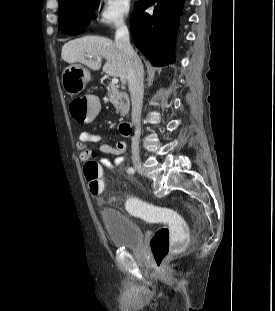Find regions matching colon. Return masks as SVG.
I'll return each mask as SVG.
<instances>
[{
  "label": "colon",
  "mask_w": 275,
  "mask_h": 311,
  "mask_svg": "<svg viewBox=\"0 0 275 311\" xmlns=\"http://www.w3.org/2000/svg\"><path fill=\"white\" fill-rule=\"evenodd\" d=\"M99 102V97L75 98L70 104L74 118L83 125H94V117H98L102 111ZM84 171L91 194L100 195L104 188L100 166L91 160L86 163ZM128 208L145 219L163 222L150 239V249L157 267L160 268L171 253L181 251L188 243L185 222L175 210L154 207L140 200L130 201Z\"/></svg>",
  "instance_id": "5ec220e1"
}]
</instances>
